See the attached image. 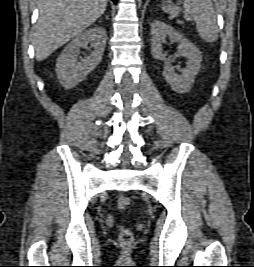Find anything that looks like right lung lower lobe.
<instances>
[{
  "instance_id": "right-lung-lower-lobe-1",
  "label": "right lung lower lobe",
  "mask_w": 254,
  "mask_h": 267,
  "mask_svg": "<svg viewBox=\"0 0 254 267\" xmlns=\"http://www.w3.org/2000/svg\"><path fill=\"white\" fill-rule=\"evenodd\" d=\"M114 3H116L117 2V0H112Z\"/></svg>"
}]
</instances>
